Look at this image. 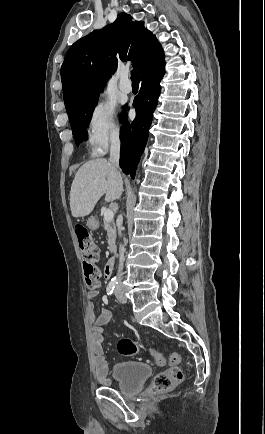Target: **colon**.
I'll return each instance as SVG.
<instances>
[{"label": "colon", "instance_id": "1", "mask_svg": "<svg viewBox=\"0 0 265 434\" xmlns=\"http://www.w3.org/2000/svg\"><path fill=\"white\" fill-rule=\"evenodd\" d=\"M74 233L77 238L80 254L83 258L84 280L88 288L96 290L99 286L100 271L97 266L99 249L85 225L76 224ZM117 351L123 356H132L141 353L139 346L131 338L125 337L117 343ZM154 360L159 365H169L170 368L156 374L149 387L152 392H166L172 390L184 380V371L178 365L180 358L177 355L164 356L154 353Z\"/></svg>", "mask_w": 265, "mask_h": 434}]
</instances>
